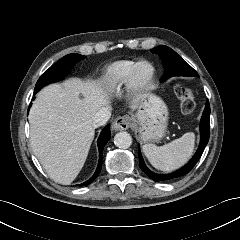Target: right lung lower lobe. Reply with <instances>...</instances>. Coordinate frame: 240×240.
Instances as JSON below:
<instances>
[{"mask_svg":"<svg viewBox=\"0 0 240 240\" xmlns=\"http://www.w3.org/2000/svg\"><path fill=\"white\" fill-rule=\"evenodd\" d=\"M36 93V92H34ZM31 106V104H30ZM110 125H107L104 130L102 131V133L100 134V137L98 138V148H99V162H98V166L97 169L94 173V175L87 181L84 182L82 184H80L79 186H85L88 185L90 183H92L99 175L100 171H101V164H102V152H103V148L105 146V144L108 142L109 138H110Z\"/></svg>","mask_w":240,"mask_h":240,"instance_id":"right-lung-lower-lobe-1","label":"right lung lower lobe"}]
</instances>
